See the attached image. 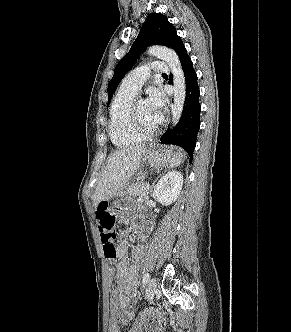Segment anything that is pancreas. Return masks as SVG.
Returning <instances> with one entry per match:
<instances>
[{"mask_svg":"<svg viewBox=\"0 0 291 332\" xmlns=\"http://www.w3.org/2000/svg\"><path fill=\"white\" fill-rule=\"evenodd\" d=\"M149 184L144 182H137L131 184L127 191L132 197H146L149 193Z\"/></svg>","mask_w":291,"mask_h":332,"instance_id":"1","label":"pancreas"}]
</instances>
